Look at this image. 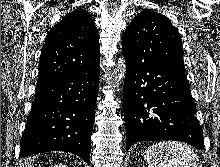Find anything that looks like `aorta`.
Instances as JSON below:
<instances>
[{
    "label": "aorta",
    "mask_w": 220,
    "mask_h": 167,
    "mask_svg": "<svg viewBox=\"0 0 220 167\" xmlns=\"http://www.w3.org/2000/svg\"><path fill=\"white\" fill-rule=\"evenodd\" d=\"M118 78L121 79L122 78V73L118 75Z\"/></svg>",
    "instance_id": "aorta-1"
}]
</instances>
